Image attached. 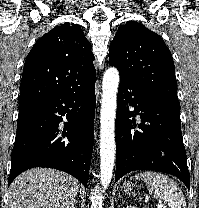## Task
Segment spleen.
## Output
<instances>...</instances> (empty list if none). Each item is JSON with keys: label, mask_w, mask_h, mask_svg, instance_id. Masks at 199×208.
Masks as SVG:
<instances>
[{"label": "spleen", "mask_w": 199, "mask_h": 208, "mask_svg": "<svg viewBox=\"0 0 199 208\" xmlns=\"http://www.w3.org/2000/svg\"><path fill=\"white\" fill-rule=\"evenodd\" d=\"M133 178L143 180L148 185L149 194L164 200L170 208H186L185 197L181 189L168 176L146 171L135 175Z\"/></svg>", "instance_id": "spleen-1"}]
</instances>
